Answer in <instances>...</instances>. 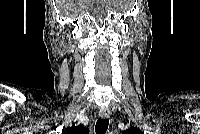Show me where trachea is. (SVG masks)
<instances>
[{"mask_svg": "<svg viewBox=\"0 0 200 134\" xmlns=\"http://www.w3.org/2000/svg\"><path fill=\"white\" fill-rule=\"evenodd\" d=\"M109 125L108 119L99 118L95 125V131L97 134H105Z\"/></svg>", "mask_w": 200, "mask_h": 134, "instance_id": "obj_1", "label": "trachea"}]
</instances>
